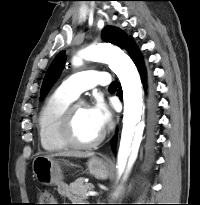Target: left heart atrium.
<instances>
[{
	"label": "left heart atrium",
	"mask_w": 200,
	"mask_h": 205,
	"mask_svg": "<svg viewBox=\"0 0 200 205\" xmlns=\"http://www.w3.org/2000/svg\"><path fill=\"white\" fill-rule=\"evenodd\" d=\"M89 111L94 122L96 123V125L99 127L101 131H103L106 127L110 125L112 115L109 108L103 101L98 100L89 109Z\"/></svg>",
	"instance_id": "1"
}]
</instances>
